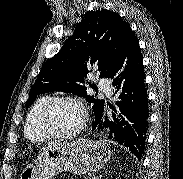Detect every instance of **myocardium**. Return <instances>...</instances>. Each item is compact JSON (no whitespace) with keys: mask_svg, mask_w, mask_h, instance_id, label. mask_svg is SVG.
<instances>
[{"mask_svg":"<svg viewBox=\"0 0 183 179\" xmlns=\"http://www.w3.org/2000/svg\"><path fill=\"white\" fill-rule=\"evenodd\" d=\"M61 102H69V103L75 104L76 106L79 107V109L81 110V113H82V120H81L79 126L75 130H73L69 133H56V132L51 131L47 126V118H48L51 110L57 104H59ZM88 121H89L88 110L82 100H80L77 97H73V96H57V97L51 98L47 102V104L43 107V109L41 110L39 119H38V126H39L40 131L47 138L71 139V138L79 135L84 130V128L88 124Z\"/></svg>","mask_w":183,"mask_h":179,"instance_id":"myocardium-1","label":"myocardium"}]
</instances>
